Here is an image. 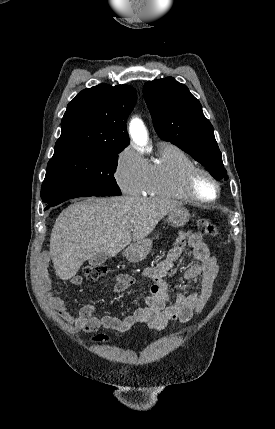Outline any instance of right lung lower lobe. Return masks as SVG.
Segmentation results:
<instances>
[{
    "mask_svg": "<svg viewBox=\"0 0 275 429\" xmlns=\"http://www.w3.org/2000/svg\"><path fill=\"white\" fill-rule=\"evenodd\" d=\"M76 197H84V196H80V195H63V196H59V197H57V198H55V199L47 202L48 206L45 208V210L48 209L51 206H55V205H57V204L65 201V200H68V199H71V198H76Z\"/></svg>",
    "mask_w": 275,
    "mask_h": 429,
    "instance_id": "right-lung-lower-lobe-1",
    "label": "right lung lower lobe"
}]
</instances>
